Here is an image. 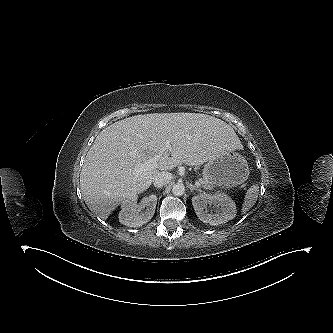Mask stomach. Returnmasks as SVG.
I'll return each instance as SVG.
<instances>
[{
	"instance_id": "0dacf381",
	"label": "stomach",
	"mask_w": 333,
	"mask_h": 333,
	"mask_svg": "<svg viewBox=\"0 0 333 333\" xmlns=\"http://www.w3.org/2000/svg\"><path fill=\"white\" fill-rule=\"evenodd\" d=\"M249 167L245 158L237 152H228L209 160L202 172L203 180L213 187L232 188L247 180Z\"/></svg>"
}]
</instances>
